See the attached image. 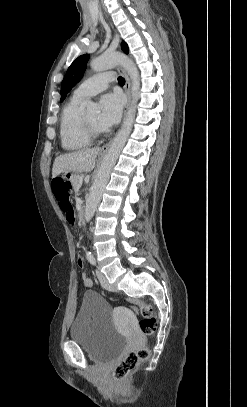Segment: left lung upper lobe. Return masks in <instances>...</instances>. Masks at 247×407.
<instances>
[{"label":"left lung upper lobe","mask_w":247,"mask_h":407,"mask_svg":"<svg viewBox=\"0 0 247 407\" xmlns=\"http://www.w3.org/2000/svg\"><path fill=\"white\" fill-rule=\"evenodd\" d=\"M121 47L125 53H128L129 49L124 41L121 43ZM88 59L89 55L79 56L68 68L61 85V99H60L61 102L64 101L68 92H70V90L83 77L84 71L86 70L87 67Z\"/></svg>","instance_id":"obj_1"}]
</instances>
